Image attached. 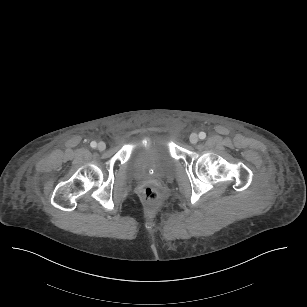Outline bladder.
I'll return each instance as SVG.
<instances>
[{
    "instance_id": "1",
    "label": "bladder",
    "mask_w": 307,
    "mask_h": 307,
    "mask_svg": "<svg viewBox=\"0 0 307 307\" xmlns=\"http://www.w3.org/2000/svg\"><path fill=\"white\" fill-rule=\"evenodd\" d=\"M175 159L168 146L160 140L137 145L130 153L128 168L135 178H145L151 171L166 176L173 170Z\"/></svg>"
}]
</instances>
